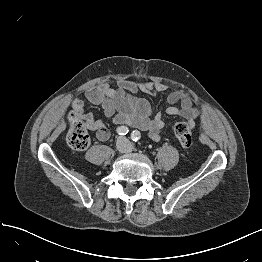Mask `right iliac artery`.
Here are the masks:
<instances>
[{"label":"right iliac artery","mask_w":262,"mask_h":262,"mask_svg":"<svg viewBox=\"0 0 262 262\" xmlns=\"http://www.w3.org/2000/svg\"><path fill=\"white\" fill-rule=\"evenodd\" d=\"M116 131L119 135H126L129 132L128 128L125 126L118 127Z\"/></svg>","instance_id":"right-iliac-artery-1"}]
</instances>
